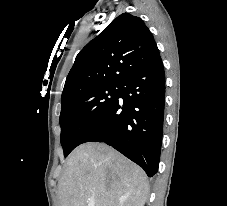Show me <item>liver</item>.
<instances>
[{
	"instance_id": "liver-1",
	"label": "liver",
	"mask_w": 227,
	"mask_h": 206,
	"mask_svg": "<svg viewBox=\"0 0 227 206\" xmlns=\"http://www.w3.org/2000/svg\"><path fill=\"white\" fill-rule=\"evenodd\" d=\"M148 195L143 169L104 143L74 149L58 183L59 206H144Z\"/></svg>"
}]
</instances>
